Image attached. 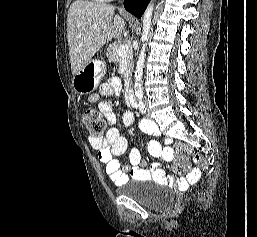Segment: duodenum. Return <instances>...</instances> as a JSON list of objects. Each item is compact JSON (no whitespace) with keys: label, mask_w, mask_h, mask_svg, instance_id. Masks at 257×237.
<instances>
[{"label":"duodenum","mask_w":257,"mask_h":237,"mask_svg":"<svg viewBox=\"0 0 257 237\" xmlns=\"http://www.w3.org/2000/svg\"><path fill=\"white\" fill-rule=\"evenodd\" d=\"M127 98H128V102L130 103L131 106H136L135 94L132 89L128 90Z\"/></svg>","instance_id":"410a0bca"}]
</instances>
